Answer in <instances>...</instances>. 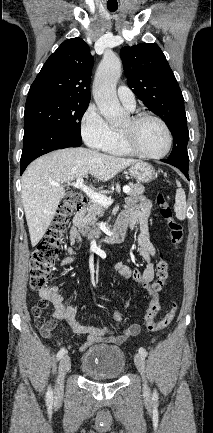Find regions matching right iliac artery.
<instances>
[{
	"instance_id": "obj_1",
	"label": "right iliac artery",
	"mask_w": 213,
	"mask_h": 433,
	"mask_svg": "<svg viewBox=\"0 0 213 433\" xmlns=\"http://www.w3.org/2000/svg\"><path fill=\"white\" fill-rule=\"evenodd\" d=\"M66 349L65 348H61L58 353H57V360L61 359L65 354H66ZM46 402L48 405H51L53 402V392L51 387L48 388L47 393H46Z\"/></svg>"
}]
</instances>
